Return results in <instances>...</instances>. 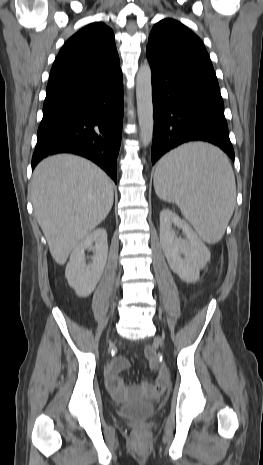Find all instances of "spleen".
Masks as SVG:
<instances>
[{
	"label": "spleen",
	"instance_id": "obj_1",
	"mask_svg": "<svg viewBox=\"0 0 263 465\" xmlns=\"http://www.w3.org/2000/svg\"><path fill=\"white\" fill-rule=\"evenodd\" d=\"M157 196L177 204L200 238L216 243L233 214L236 184L226 155L203 143L182 145L162 157L156 166Z\"/></svg>",
	"mask_w": 263,
	"mask_h": 465
}]
</instances>
